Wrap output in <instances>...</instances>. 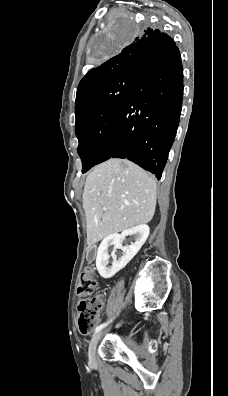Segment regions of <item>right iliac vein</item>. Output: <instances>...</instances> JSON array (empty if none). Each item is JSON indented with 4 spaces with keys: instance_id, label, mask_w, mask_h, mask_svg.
<instances>
[{
    "instance_id": "1",
    "label": "right iliac vein",
    "mask_w": 228,
    "mask_h": 396,
    "mask_svg": "<svg viewBox=\"0 0 228 396\" xmlns=\"http://www.w3.org/2000/svg\"><path fill=\"white\" fill-rule=\"evenodd\" d=\"M102 334L103 332H98L96 335L93 336V338L90 341L88 348V357L91 363H95L96 361V357H95L96 347L99 340L101 339Z\"/></svg>"
}]
</instances>
